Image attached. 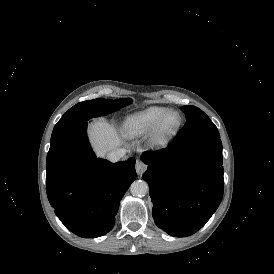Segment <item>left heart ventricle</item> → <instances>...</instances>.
Returning <instances> with one entry per match:
<instances>
[{
    "label": "left heart ventricle",
    "instance_id": "1",
    "mask_svg": "<svg viewBox=\"0 0 274 274\" xmlns=\"http://www.w3.org/2000/svg\"><path fill=\"white\" fill-rule=\"evenodd\" d=\"M180 123V115L179 114H173L171 115L166 124H165V130L171 131L174 130Z\"/></svg>",
    "mask_w": 274,
    "mask_h": 274
}]
</instances>
